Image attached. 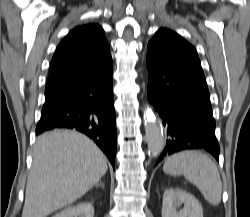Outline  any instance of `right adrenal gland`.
Masks as SVG:
<instances>
[{"instance_id":"obj_1","label":"right adrenal gland","mask_w":250,"mask_h":217,"mask_svg":"<svg viewBox=\"0 0 250 217\" xmlns=\"http://www.w3.org/2000/svg\"><path fill=\"white\" fill-rule=\"evenodd\" d=\"M96 186H101V188H103V189H104V187H105V186H104V183L101 182V181H100V183L96 184Z\"/></svg>"}]
</instances>
